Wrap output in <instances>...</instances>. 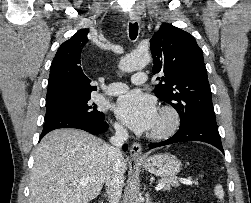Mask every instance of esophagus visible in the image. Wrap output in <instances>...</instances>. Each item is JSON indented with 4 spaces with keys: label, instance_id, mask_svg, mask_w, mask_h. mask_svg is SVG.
<instances>
[{
    "label": "esophagus",
    "instance_id": "esophagus-1",
    "mask_svg": "<svg viewBox=\"0 0 251 203\" xmlns=\"http://www.w3.org/2000/svg\"><path fill=\"white\" fill-rule=\"evenodd\" d=\"M130 20L133 23L134 22H138L140 20V17H139V15L136 12H131L130 13ZM130 156L133 159H137V160H140V159L144 158L143 152H142V146H141L140 143L134 142L131 145V147H130Z\"/></svg>",
    "mask_w": 251,
    "mask_h": 203
}]
</instances>
